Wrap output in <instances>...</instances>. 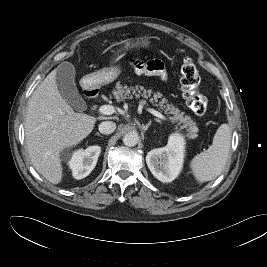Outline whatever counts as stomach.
I'll return each instance as SVG.
<instances>
[{
	"label": "stomach",
	"instance_id": "1",
	"mask_svg": "<svg viewBox=\"0 0 267 267\" xmlns=\"http://www.w3.org/2000/svg\"><path fill=\"white\" fill-rule=\"evenodd\" d=\"M150 42L144 38H135L124 41V45L115 51V56H118L122 51L127 49L147 48ZM121 70L118 65L110 64L109 67H104L85 77V81L90 87H101L114 81L120 74Z\"/></svg>",
	"mask_w": 267,
	"mask_h": 267
}]
</instances>
